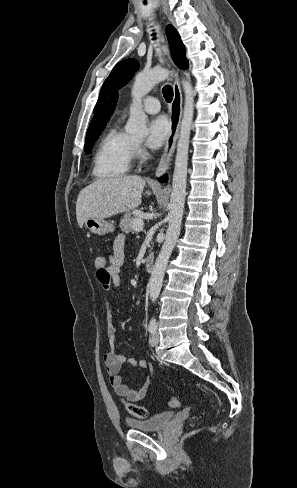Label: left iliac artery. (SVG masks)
<instances>
[{
  "mask_svg": "<svg viewBox=\"0 0 297 488\" xmlns=\"http://www.w3.org/2000/svg\"><path fill=\"white\" fill-rule=\"evenodd\" d=\"M156 329H157V321L154 317H152L148 326V330L152 334L156 331Z\"/></svg>",
  "mask_w": 297,
  "mask_h": 488,
  "instance_id": "obj_1",
  "label": "left iliac artery"
}]
</instances>
